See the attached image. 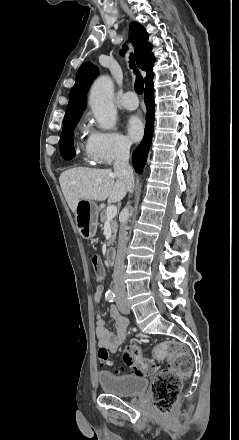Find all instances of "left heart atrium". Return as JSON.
<instances>
[{"instance_id":"39dd6f15","label":"left heart atrium","mask_w":239,"mask_h":440,"mask_svg":"<svg viewBox=\"0 0 239 440\" xmlns=\"http://www.w3.org/2000/svg\"><path fill=\"white\" fill-rule=\"evenodd\" d=\"M123 126L130 140H138L143 133V126L140 119L130 115L123 120Z\"/></svg>"}]
</instances>
